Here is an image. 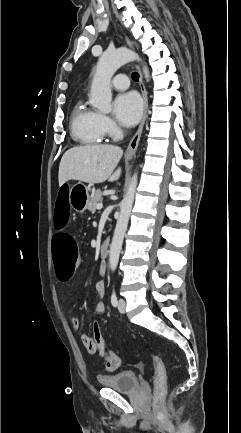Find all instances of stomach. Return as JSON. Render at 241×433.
<instances>
[{
	"mask_svg": "<svg viewBox=\"0 0 241 433\" xmlns=\"http://www.w3.org/2000/svg\"><path fill=\"white\" fill-rule=\"evenodd\" d=\"M69 196L71 207L78 213L85 212L90 200L88 188L84 184L77 183L69 189Z\"/></svg>",
	"mask_w": 241,
	"mask_h": 433,
	"instance_id": "0dacf381",
	"label": "stomach"
}]
</instances>
